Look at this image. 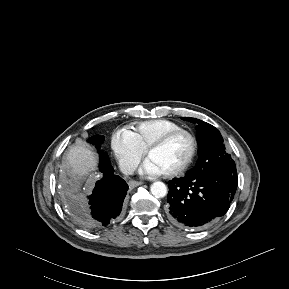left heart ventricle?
<instances>
[{"instance_id":"obj_1","label":"left heart ventricle","mask_w":289,"mask_h":289,"mask_svg":"<svg viewBox=\"0 0 289 289\" xmlns=\"http://www.w3.org/2000/svg\"><path fill=\"white\" fill-rule=\"evenodd\" d=\"M191 140L180 135L164 147L151 153L148 159L155 163L162 173L170 172L182 165L191 152Z\"/></svg>"}]
</instances>
